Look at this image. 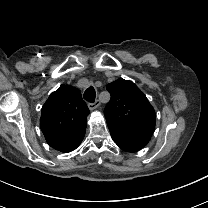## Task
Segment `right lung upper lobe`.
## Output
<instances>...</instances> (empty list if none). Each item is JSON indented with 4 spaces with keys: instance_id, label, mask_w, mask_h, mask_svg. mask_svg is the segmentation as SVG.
I'll return each instance as SVG.
<instances>
[{
    "instance_id": "1",
    "label": "right lung upper lobe",
    "mask_w": 208,
    "mask_h": 208,
    "mask_svg": "<svg viewBox=\"0 0 208 208\" xmlns=\"http://www.w3.org/2000/svg\"><path fill=\"white\" fill-rule=\"evenodd\" d=\"M89 109L77 88L61 85L41 110L40 128L52 147L85 132Z\"/></svg>"
}]
</instances>
